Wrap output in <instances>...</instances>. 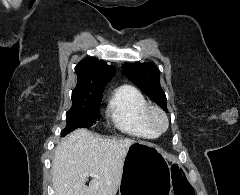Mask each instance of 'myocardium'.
Returning <instances> with one entry per match:
<instances>
[{"instance_id": "myocardium-1", "label": "myocardium", "mask_w": 240, "mask_h": 195, "mask_svg": "<svg viewBox=\"0 0 240 195\" xmlns=\"http://www.w3.org/2000/svg\"><path fill=\"white\" fill-rule=\"evenodd\" d=\"M145 119L147 124L157 133L164 132L168 127L167 115L158 106H148Z\"/></svg>"}]
</instances>
